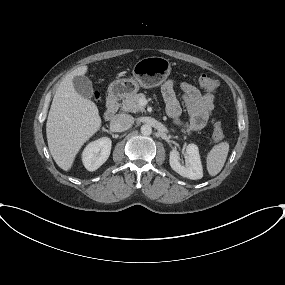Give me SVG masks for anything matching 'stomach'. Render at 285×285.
<instances>
[{"label":"stomach","mask_w":285,"mask_h":285,"mask_svg":"<svg viewBox=\"0 0 285 285\" xmlns=\"http://www.w3.org/2000/svg\"><path fill=\"white\" fill-rule=\"evenodd\" d=\"M132 73L133 78L113 81L108 87V94L113 98H124L136 93L140 87H156L170 75L171 63L164 57H146L134 65Z\"/></svg>","instance_id":"obj_1"}]
</instances>
